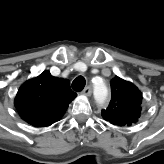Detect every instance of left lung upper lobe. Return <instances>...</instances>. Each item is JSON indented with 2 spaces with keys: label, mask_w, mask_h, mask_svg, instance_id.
Masks as SVG:
<instances>
[{
  "label": "left lung upper lobe",
  "mask_w": 164,
  "mask_h": 164,
  "mask_svg": "<svg viewBox=\"0 0 164 164\" xmlns=\"http://www.w3.org/2000/svg\"><path fill=\"white\" fill-rule=\"evenodd\" d=\"M111 101L102 110L103 118L114 125L130 126L141 112L142 94L132 83L116 76L111 82Z\"/></svg>",
  "instance_id": "1"
}]
</instances>
